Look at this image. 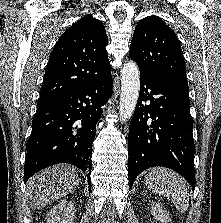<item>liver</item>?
I'll list each match as a JSON object with an SVG mask.
<instances>
[{
  "label": "liver",
  "mask_w": 221,
  "mask_h": 223,
  "mask_svg": "<svg viewBox=\"0 0 221 223\" xmlns=\"http://www.w3.org/2000/svg\"><path fill=\"white\" fill-rule=\"evenodd\" d=\"M79 176L76 169L59 164L42 170L27 182V196L33 210H39L72 192Z\"/></svg>",
  "instance_id": "liver-1"
}]
</instances>
